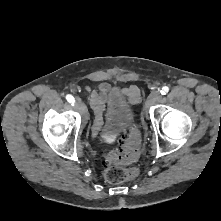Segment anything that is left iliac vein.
I'll use <instances>...</instances> for the list:
<instances>
[{
	"instance_id": "left-iliac-vein-1",
	"label": "left iliac vein",
	"mask_w": 221,
	"mask_h": 221,
	"mask_svg": "<svg viewBox=\"0 0 221 221\" xmlns=\"http://www.w3.org/2000/svg\"><path fill=\"white\" fill-rule=\"evenodd\" d=\"M161 99V94L159 91H153L150 93V95L148 96L147 98V101H146V107H150L152 105H155L157 104Z\"/></svg>"
}]
</instances>
